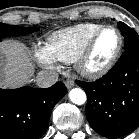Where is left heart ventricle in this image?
I'll return each instance as SVG.
<instances>
[{
  "instance_id": "b2bd125f",
  "label": "left heart ventricle",
  "mask_w": 139,
  "mask_h": 139,
  "mask_svg": "<svg viewBox=\"0 0 139 139\" xmlns=\"http://www.w3.org/2000/svg\"><path fill=\"white\" fill-rule=\"evenodd\" d=\"M118 44V36L114 30L104 31L96 40L93 51L88 60L90 68L103 66L113 55Z\"/></svg>"
}]
</instances>
